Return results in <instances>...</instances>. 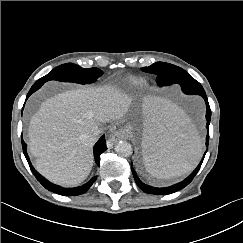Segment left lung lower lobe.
Instances as JSON below:
<instances>
[{
    "instance_id": "left-lung-lower-lobe-1",
    "label": "left lung lower lobe",
    "mask_w": 243,
    "mask_h": 243,
    "mask_svg": "<svg viewBox=\"0 0 243 243\" xmlns=\"http://www.w3.org/2000/svg\"><path fill=\"white\" fill-rule=\"evenodd\" d=\"M182 91L185 94L200 95L204 98L205 103H206V109H207L206 110V119H207L206 128L209 129V124H210V119H211V110H210V106L208 103L206 93H205L203 87L201 86V84L197 83V84H193V85H189V86H184V87H182ZM208 142H209V134H207V136H206V146L207 147H208ZM206 152H207V150H206ZM206 152L204 153L201 162L199 163L197 168L190 174V176H188L183 181H181L175 185L169 186V187L157 188V187H152V186L146 185L143 182H141V180L138 178L136 171L133 169V167H131V170H132L136 184L144 192L149 193V194H159V195L171 194V193H174L176 191L183 189L192 181V179L195 177V175L197 174V172L199 171V169L201 167V164L204 160Z\"/></svg>"
}]
</instances>
